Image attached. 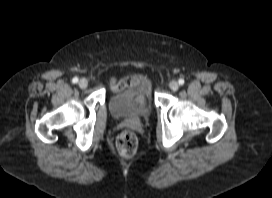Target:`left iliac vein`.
<instances>
[{
  "instance_id": "1",
  "label": "left iliac vein",
  "mask_w": 272,
  "mask_h": 198,
  "mask_svg": "<svg viewBox=\"0 0 272 198\" xmlns=\"http://www.w3.org/2000/svg\"><path fill=\"white\" fill-rule=\"evenodd\" d=\"M169 87L172 91H177L179 89V84L177 81H171Z\"/></svg>"
}]
</instances>
